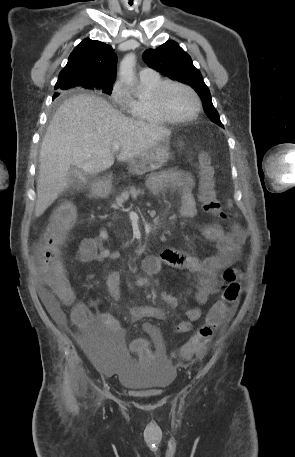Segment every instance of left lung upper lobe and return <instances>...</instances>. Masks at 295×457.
Segmentation results:
<instances>
[{
    "instance_id": "5c2ea615",
    "label": "left lung upper lobe",
    "mask_w": 295,
    "mask_h": 457,
    "mask_svg": "<svg viewBox=\"0 0 295 457\" xmlns=\"http://www.w3.org/2000/svg\"><path fill=\"white\" fill-rule=\"evenodd\" d=\"M143 59L149 67L162 75L190 85L201 98L206 115L223 126L200 71L194 67L191 57L177 42L170 40L156 49H148L143 53Z\"/></svg>"
}]
</instances>
